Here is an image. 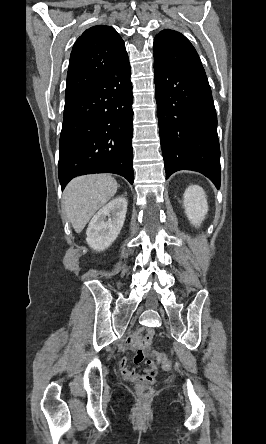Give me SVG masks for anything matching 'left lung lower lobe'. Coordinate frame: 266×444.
<instances>
[{"label": "left lung lower lobe", "instance_id": "0a47b994", "mask_svg": "<svg viewBox=\"0 0 266 444\" xmlns=\"http://www.w3.org/2000/svg\"><path fill=\"white\" fill-rule=\"evenodd\" d=\"M159 132L166 178L178 170L204 174L220 188L217 116L205 72L154 59Z\"/></svg>", "mask_w": 266, "mask_h": 444}]
</instances>
